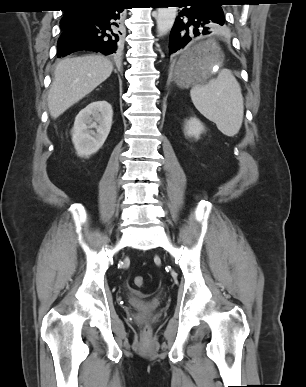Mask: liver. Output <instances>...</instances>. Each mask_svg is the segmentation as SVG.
<instances>
[{"label":"liver","instance_id":"6515ba94","mask_svg":"<svg viewBox=\"0 0 306 387\" xmlns=\"http://www.w3.org/2000/svg\"><path fill=\"white\" fill-rule=\"evenodd\" d=\"M113 71V64L101 55L62 59L56 66L48 94V108L57 118L103 83Z\"/></svg>","mask_w":306,"mask_h":387}]
</instances>
